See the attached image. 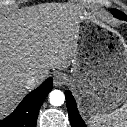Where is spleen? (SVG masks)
Returning <instances> with one entry per match:
<instances>
[{
	"instance_id": "spleen-1",
	"label": "spleen",
	"mask_w": 127,
	"mask_h": 127,
	"mask_svg": "<svg viewBox=\"0 0 127 127\" xmlns=\"http://www.w3.org/2000/svg\"><path fill=\"white\" fill-rule=\"evenodd\" d=\"M91 127H127V101L109 113H97L90 117Z\"/></svg>"
}]
</instances>
